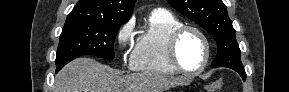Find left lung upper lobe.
<instances>
[{"mask_svg":"<svg viewBox=\"0 0 289 92\" xmlns=\"http://www.w3.org/2000/svg\"><path fill=\"white\" fill-rule=\"evenodd\" d=\"M176 10L211 33L218 53L211 67L244 69L235 30L222 0H167Z\"/></svg>","mask_w":289,"mask_h":92,"instance_id":"left-lung-upper-lobe-1","label":"left lung upper lobe"}]
</instances>
